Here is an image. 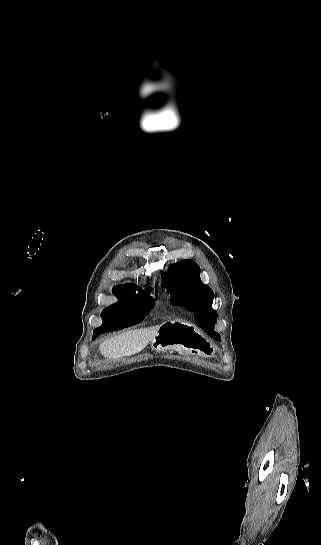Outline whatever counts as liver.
Segmentation results:
<instances>
[{"instance_id":"liver-1","label":"liver","mask_w":321,"mask_h":545,"mask_svg":"<svg viewBox=\"0 0 321 545\" xmlns=\"http://www.w3.org/2000/svg\"><path fill=\"white\" fill-rule=\"evenodd\" d=\"M159 325L156 327H147V329H134V331H126L118 337L107 339L101 343L99 347L103 357L108 359H122V357H132L143 351L148 343L152 341L156 335Z\"/></svg>"}]
</instances>
